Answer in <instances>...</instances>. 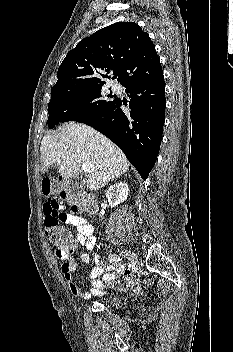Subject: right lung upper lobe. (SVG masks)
<instances>
[{"instance_id": "obj_1", "label": "right lung upper lobe", "mask_w": 233, "mask_h": 352, "mask_svg": "<svg viewBox=\"0 0 233 352\" xmlns=\"http://www.w3.org/2000/svg\"><path fill=\"white\" fill-rule=\"evenodd\" d=\"M161 71L148 33L136 23L117 22L82 39L68 52L52 89L104 85L109 73L125 86Z\"/></svg>"}]
</instances>
